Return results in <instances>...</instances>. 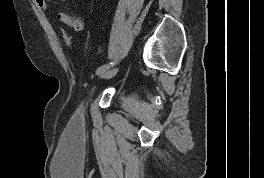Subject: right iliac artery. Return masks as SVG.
<instances>
[{
	"label": "right iliac artery",
	"mask_w": 264,
	"mask_h": 178,
	"mask_svg": "<svg viewBox=\"0 0 264 178\" xmlns=\"http://www.w3.org/2000/svg\"><path fill=\"white\" fill-rule=\"evenodd\" d=\"M115 63H116V62H110V63H108V64H104V65H102L101 67H99V68L97 69L96 74H100V73H102L103 71H105V70L111 68Z\"/></svg>",
	"instance_id": "82829eb1"
}]
</instances>
